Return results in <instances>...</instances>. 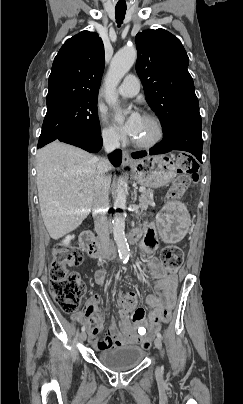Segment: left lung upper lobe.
Listing matches in <instances>:
<instances>
[{
	"mask_svg": "<svg viewBox=\"0 0 243 404\" xmlns=\"http://www.w3.org/2000/svg\"><path fill=\"white\" fill-rule=\"evenodd\" d=\"M136 71L149 106L165 130L183 117H200L189 58L180 40L164 29L136 35Z\"/></svg>",
	"mask_w": 243,
	"mask_h": 404,
	"instance_id": "1",
	"label": "left lung upper lobe"
}]
</instances>
